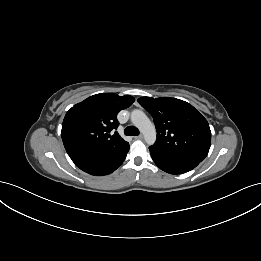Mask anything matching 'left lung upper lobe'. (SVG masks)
Segmentation results:
<instances>
[{
  "mask_svg": "<svg viewBox=\"0 0 261 261\" xmlns=\"http://www.w3.org/2000/svg\"><path fill=\"white\" fill-rule=\"evenodd\" d=\"M138 102L153 116L157 131L154 147L200 162L205 159L211 131L207 120L192 105L171 97H141Z\"/></svg>",
  "mask_w": 261,
  "mask_h": 261,
  "instance_id": "5c2ea615",
  "label": "left lung upper lobe"
}]
</instances>
